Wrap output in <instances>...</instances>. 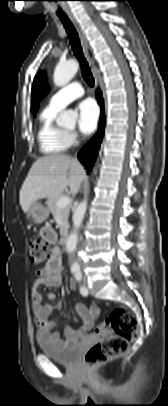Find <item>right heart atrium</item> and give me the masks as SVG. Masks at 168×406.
I'll use <instances>...</instances> for the list:
<instances>
[{
  "label": "right heart atrium",
  "instance_id": "d8ad5b80",
  "mask_svg": "<svg viewBox=\"0 0 168 406\" xmlns=\"http://www.w3.org/2000/svg\"><path fill=\"white\" fill-rule=\"evenodd\" d=\"M69 137H70V140H71L72 143H74L76 141V139H77V135L74 132H70Z\"/></svg>",
  "mask_w": 168,
  "mask_h": 406
}]
</instances>
